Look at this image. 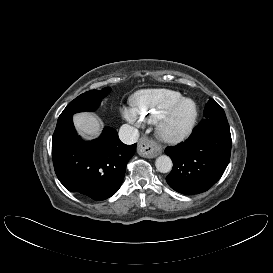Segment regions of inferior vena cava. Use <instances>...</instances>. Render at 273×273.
<instances>
[{
    "label": "inferior vena cava",
    "mask_w": 273,
    "mask_h": 273,
    "mask_svg": "<svg viewBox=\"0 0 273 273\" xmlns=\"http://www.w3.org/2000/svg\"><path fill=\"white\" fill-rule=\"evenodd\" d=\"M119 138L125 144H134L138 141L139 131L133 126L124 124L120 127Z\"/></svg>",
    "instance_id": "1"
}]
</instances>
